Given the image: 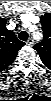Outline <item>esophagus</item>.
Listing matches in <instances>:
<instances>
[{
  "label": "esophagus",
  "mask_w": 51,
  "mask_h": 101,
  "mask_svg": "<svg viewBox=\"0 0 51 101\" xmlns=\"http://www.w3.org/2000/svg\"><path fill=\"white\" fill-rule=\"evenodd\" d=\"M26 43L31 46L34 44V40L32 38H29Z\"/></svg>",
  "instance_id": "esophagus-1"
}]
</instances>
